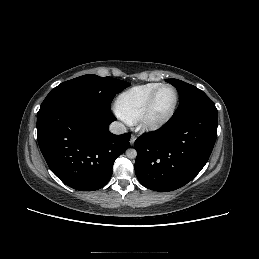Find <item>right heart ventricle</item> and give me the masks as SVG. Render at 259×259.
Listing matches in <instances>:
<instances>
[{"mask_svg": "<svg viewBox=\"0 0 259 259\" xmlns=\"http://www.w3.org/2000/svg\"><path fill=\"white\" fill-rule=\"evenodd\" d=\"M161 83H146L122 92L115 103L118 115L128 123H134L142 114L151 94Z\"/></svg>", "mask_w": 259, "mask_h": 259, "instance_id": "right-heart-ventricle-1", "label": "right heart ventricle"}]
</instances>
